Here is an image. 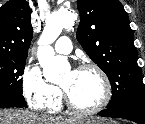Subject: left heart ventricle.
Segmentation results:
<instances>
[{
	"mask_svg": "<svg viewBox=\"0 0 145 124\" xmlns=\"http://www.w3.org/2000/svg\"><path fill=\"white\" fill-rule=\"evenodd\" d=\"M59 84L67 91L72 101L83 108L97 105L104 94L102 80L93 70H68Z\"/></svg>",
	"mask_w": 145,
	"mask_h": 124,
	"instance_id": "obj_1",
	"label": "left heart ventricle"
}]
</instances>
